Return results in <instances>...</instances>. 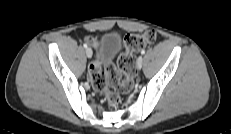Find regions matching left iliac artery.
Instances as JSON below:
<instances>
[{"mask_svg": "<svg viewBox=\"0 0 231 134\" xmlns=\"http://www.w3.org/2000/svg\"><path fill=\"white\" fill-rule=\"evenodd\" d=\"M141 54H142V55L145 54V50H142V51H141Z\"/></svg>", "mask_w": 231, "mask_h": 134, "instance_id": "obj_1", "label": "left iliac artery"}]
</instances>
